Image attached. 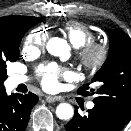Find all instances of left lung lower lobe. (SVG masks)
I'll return each instance as SVG.
<instances>
[{"instance_id": "left-lung-lower-lobe-1", "label": "left lung lower lobe", "mask_w": 131, "mask_h": 131, "mask_svg": "<svg viewBox=\"0 0 131 131\" xmlns=\"http://www.w3.org/2000/svg\"><path fill=\"white\" fill-rule=\"evenodd\" d=\"M126 124L102 106L96 105L81 116L75 107L74 117L65 125L66 131H120Z\"/></svg>"}]
</instances>
